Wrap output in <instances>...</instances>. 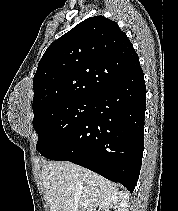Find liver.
I'll use <instances>...</instances> for the list:
<instances>
[{
    "instance_id": "liver-1",
    "label": "liver",
    "mask_w": 178,
    "mask_h": 211,
    "mask_svg": "<svg viewBox=\"0 0 178 211\" xmlns=\"http://www.w3.org/2000/svg\"><path fill=\"white\" fill-rule=\"evenodd\" d=\"M42 181L50 211H96L118 192L116 184L71 162L44 164Z\"/></svg>"
}]
</instances>
